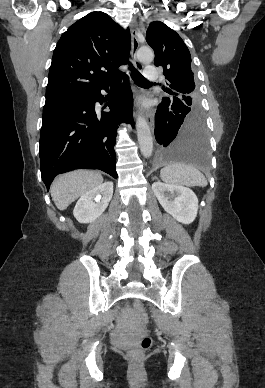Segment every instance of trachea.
I'll use <instances>...</instances> for the list:
<instances>
[{
  "mask_svg": "<svg viewBox=\"0 0 265 388\" xmlns=\"http://www.w3.org/2000/svg\"><path fill=\"white\" fill-rule=\"evenodd\" d=\"M130 70H131V76L134 80L135 83L137 84H143V85H146L150 82H148V80H146L142 75L141 73H139L138 70H136L133 66H130ZM121 80H122V77H117L116 79H114V81L112 82V86H117L121 83Z\"/></svg>",
  "mask_w": 265,
  "mask_h": 388,
  "instance_id": "obj_1",
  "label": "trachea"
}]
</instances>
